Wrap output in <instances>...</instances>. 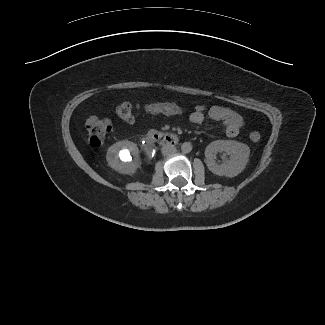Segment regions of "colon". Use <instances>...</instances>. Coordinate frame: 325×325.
I'll return each mask as SVG.
<instances>
[{
  "instance_id": "1",
  "label": "colon",
  "mask_w": 325,
  "mask_h": 325,
  "mask_svg": "<svg viewBox=\"0 0 325 325\" xmlns=\"http://www.w3.org/2000/svg\"><path fill=\"white\" fill-rule=\"evenodd\" d=\"M136 110L153 116L166 117H181L188 112L186 106L176 102H147L136 105L124 102L117 106L116 114L122 120L131 122L134 120V113ZM85 129L89 145L96 148L103 144L112 126L109 120L92 116L87 119ZM249 137L252 142H258L261 135L258 131H253L250 133Z\"/></svg>"
}]
</instances>
